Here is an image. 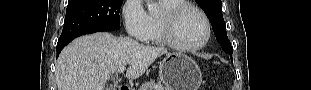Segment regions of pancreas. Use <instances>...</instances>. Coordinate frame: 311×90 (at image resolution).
<instances>
[{
    "instance_id": "1",
    "label": "pancreas",
    "mask_w": 311,
    "mask_h": 90,
    "mask_svg": "<svg viewBox=\"0 0 311 90\" xmlns=\"http://www.w3.org/2000/svg\"><path fill=\"white\" fill-rule=\"evenodd\" d=\"M140 90H167V89L164 88L160 82L156 83L155 81L151 80L150 82L142 84Z\"/></svg>"
}]
</instances>
